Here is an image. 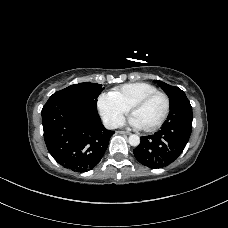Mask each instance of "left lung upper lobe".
<instances>
[{"label": "left lung upper lobe", "instance_id": "left-lung-upper-lobe-1", "mask_svg": "<svg viewBox=\"0 0 228 228\" xmlns=\"http://www.w3.org/2000/svg\"><path fill=\"white\" fill-rule=\"evenodd\" d=\"M156 83L168 94L171 109L178 108L183 101L187 100L185 93L180 88L168 85L159 80H156Z\"/></svg>", "mask_w": 228, "mask_h": 228}]
</instances>
